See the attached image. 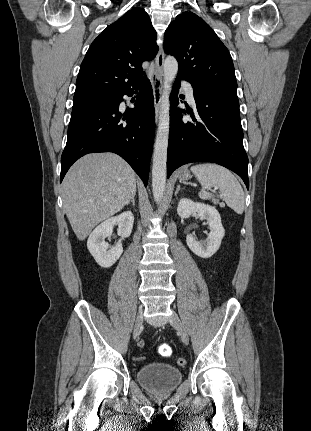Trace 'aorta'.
Masks as SVG:
<instances>
[{
  "mask_svg": "<svg viewBox=\"0 0 311 431\" xmlns=\"http://www.w3.org/2000/svg\"><path fill=\"white\" fill-rule=\"evenodd\" d=\"M164 90L159 124L156 132L153 160H152V192L154 202L161 204L163 200L167 178V150L170 132V102L171 84L178 72V62L173 56H168L163 68Z\"/></svg>",
  "mask_w": 311,
  "mask_h": 431,
  "instance_id": "obj_1",
  "label": "aorta"
}]
</instances>
